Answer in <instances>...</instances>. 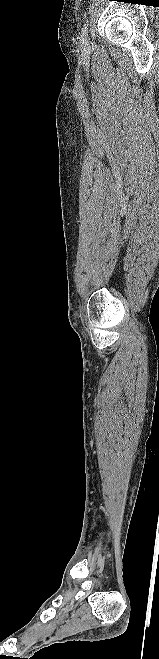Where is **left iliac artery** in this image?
<instances>
[{
    "label": "left iliac artery",
    "mask_w": 159,
    "mask_h": 659,
    "mask_svg": "<svg viewBox=\"0 0 159 659\" xmlns=\"http://www.w3.org/2000/svg\"><path fill=\"white\" fill-rule=\"evenodd\" d=\"M81 37L83 42L88 43V21H85L82 26Z\"/></svg>",
    "instance_id": "obj_1"
}]
</instances>
